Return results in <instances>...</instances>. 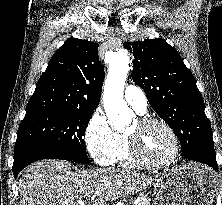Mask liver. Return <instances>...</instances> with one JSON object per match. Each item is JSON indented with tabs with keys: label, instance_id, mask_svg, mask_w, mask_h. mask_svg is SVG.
I'll use <instances>...</instances> for the list:
<instances>
[{
	"label": "liver",
	"instance_id": "obj_1",
	"mask_svg": "<svg viewBox=\"0 0 222 205\" xmlns=\"http://www.w3.org/2000/svg\"><path fill=\"white\" fill-rule=\"evenodd\" d=\"M156 178L124 168L73 172L67 161L41 160L28 166L19 180L20 204L77 205L90 193L93 205H106L147 188Z\"/></svg>",
	"mask_w": 222,
	"mask_h": 205
}]
</instances>
